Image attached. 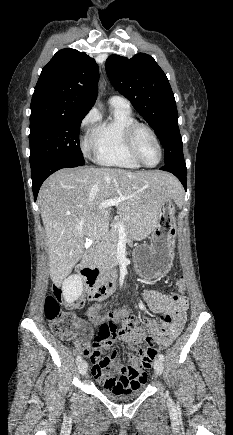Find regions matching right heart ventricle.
Here are the masks:
<instances>
[{
	"label": "right heart ventricle",
	"instance_id": "obj_1",
	"mask_svg": "<svg viewBox=\"0 0 233 435\" xmlns=\"http://www.w3.org/2000/svg\"><path fill=\"white\" fill-rule=\"evenodd\" d=\"M113 107L111 117L100 121L90 139L100 165L136 170L141 166L132 158L125 141V130L136 121L129 108Z\"/></svg>",
	"mask_w": 233,
	"mask_h": 435
}]
</instances>
